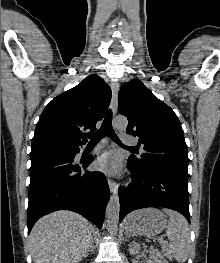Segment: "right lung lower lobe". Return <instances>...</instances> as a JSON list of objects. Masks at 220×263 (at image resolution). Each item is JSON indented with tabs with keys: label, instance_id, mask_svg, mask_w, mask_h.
<instances>
[{
	"label": "right lung lower lobe",
	"instance_id": "right-lung-lower-lobe-1",
	"mask_svg": "<svg viewBox=\"0 0 220 263\" xmlns=\"http://www.w3.org/2000/svg\"><path fill=\"white\" fill-rule=\"evenodd\" d=\"M79 147L31 151L27 227L56 210L77 212L100 229L110 197L107 180L99 171H86L94 157L75 161Z\"/></svg>",
	"mask_w": 220,
	"mask_h": 263
}]
</instances>
